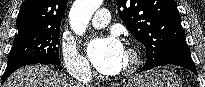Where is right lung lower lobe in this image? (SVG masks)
I'll return each mask as SVG.
<instances>
[{"mask_svg": "<svg viewBox=\"0 0 205 87\" xmlns=\"http://www.w3.org/2000/svg\"><path fill=\"white\" fill-rule=\"evenodd\" d=\"M36 63L50 65L46 61H42V60H38V59H34V58H27V57L8 59L7 67H6V70L4 72V75H3V78H2V82H4L5 79L10 74H12L16 69H18V68H20L22 66L28 65V64H36Z\"/></svg>", "mask_w": 205, "mask_h": 87, "instance_id": "obj_1", "label": "right lung lower lobe"}]
</instances>
